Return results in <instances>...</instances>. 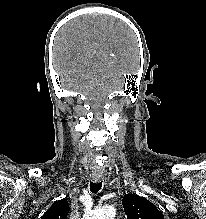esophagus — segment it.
<instances>
[{"label": "esophagus", "mask_w": 206, "mask_h": 219, "mask_svg": "<svg viewBox=\"0 0 206 219\" xmlns=\"http://www.w3.org/2000/svg\"><path fill=\"white\" fill-rule=\"evenodd\" d=\"M102 179V175L101 174H93V180L95 182H99Z\"/></svg>", "instance_id": "esophagus-1"}]
</instances>
